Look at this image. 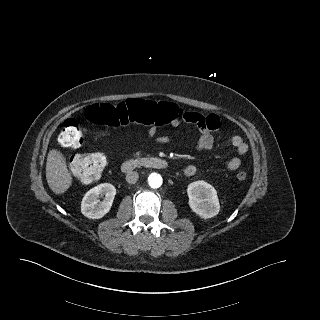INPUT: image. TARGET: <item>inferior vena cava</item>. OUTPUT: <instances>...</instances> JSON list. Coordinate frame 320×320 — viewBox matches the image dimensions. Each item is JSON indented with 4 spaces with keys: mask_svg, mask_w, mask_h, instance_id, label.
<instances>
[{
    "mask_svg": "<svg viewBox=\"0 0 320 320\" xmlns=\"http://www.w3.org/2000/svg\"><path fill=\"white\" fill-rule=\"evenodd\" d=\"M138 178H139V174L136 171H129L126 174V181L130 184L136 183Z\"/></svg>",
    "mask_w": 320,
    "mask_h": 320,
    "instance_id": "obj_1",
    "label": "inferior vena cava"
}]
</instances>
